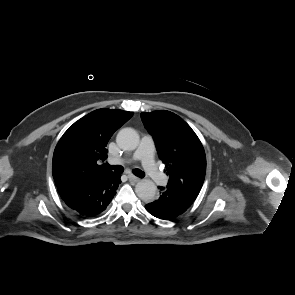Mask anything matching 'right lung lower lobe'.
Segmentation results:
<instances>
[{"label":"right lung lower lobe","instance_id":"obj_1","mask_svg":"<svg viewBox=\"0 0 295 295\" xmlns=\"http://www.w3.org/2000/svg\"><path fill=\"white\" fill-rule=\"evenodd\" d=\"M120 177L113 172L86 185L58 188V192L68 207L84 218H93L111 202L121 183Z\"/></svg>","mask_w":295,"mask_h":295}]
</instances>
